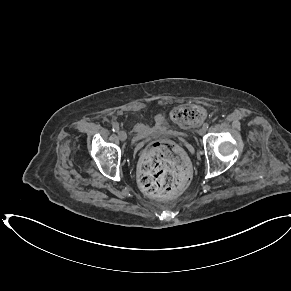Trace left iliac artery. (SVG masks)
Instances as JSON below:
<instances>
[{"mask_svg": "<svg viewBox=\"0 0 291 291\" xmlns=\"http://www.w3.org/2000/svg\"><path fill=\"white\" fill-rule=\"evenodd\" d=\"M203 127L207 130L208 127H209V124L208 123H204Z\"/></svg>", "mask_w": 291, "mask_h": 291, "instance_id": "44dca946", "label": "left iliac artery"}]
</instances>
